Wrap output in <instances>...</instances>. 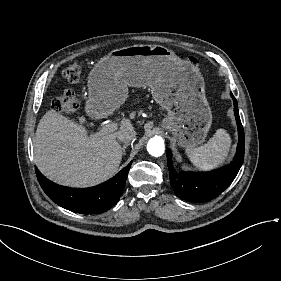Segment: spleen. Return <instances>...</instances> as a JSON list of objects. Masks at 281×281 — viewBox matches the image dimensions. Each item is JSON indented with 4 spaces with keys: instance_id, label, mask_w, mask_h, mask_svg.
Instances as JSON below:
<instances>
[{
    "instance_id": "3e777b00",
    "label": "spleen",
    "mask_w": 281,
    "mask_h": 281,
    "mask_svg": "<svg viewBox=\"0 0 281 281\" xmlns=\"http://www.w3.org/2000/svg\"><path fill=\"white\" fill-rule=\"evenodd\" d=\"M232 138L226 129H218L208 143L198 148H188L185 154L193 166L201 171H213L226 164L230 155Z\"/></svg>"
}]
</instances>
